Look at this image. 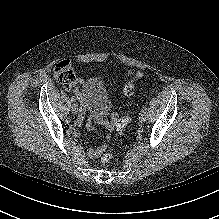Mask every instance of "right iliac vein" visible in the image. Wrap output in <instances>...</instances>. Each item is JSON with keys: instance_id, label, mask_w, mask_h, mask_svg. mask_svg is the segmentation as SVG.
<instances>
[{"instance_id": "1", "label": "right iliac vein", "mask_w": 219, "mask_h": 219, "mask_svg": "<svg viewBox=\"0 0 219 219\" xmlns=\"http://www.w3.org/2000/svg\"><path fill=\"white\" fill-rule=\"evenodd\" d=\"M78 105L76 104V103H73L72 105H71V111H72V113H74V114H76V113H78Z\"/></svg>"}]
</instances>
